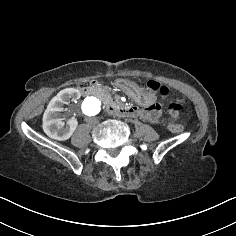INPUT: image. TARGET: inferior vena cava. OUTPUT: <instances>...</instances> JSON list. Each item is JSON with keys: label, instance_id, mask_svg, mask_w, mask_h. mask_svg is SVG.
Segmentation results:
<instances>
[{"label": "inferior vena cava", "instance_id": "inferior-vena-cava-1", "mask_svg": "<svg viewBox=\"0 0 236 236\" xmlns=\"http://www.w3.org/2000/svg\"><path fill=\"white\" fill-rule=\"evenodd\" d=\"M86 122H88L89 124H92V125H97V123L99 122L97 119H91V117H86Z\"/></svg>", "mask_w": 236, "mask_h": 236}]
</instances>
